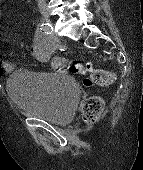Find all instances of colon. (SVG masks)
<instances>
[{
    "mask_svg": "<svg viewBox=\"0 0 143 170\" xmlns=\"http://www.w3.org/2000/svg\"><path fill=\"white\" fill-rule=\"evenodd\" d=\"M57 70H69L73 74L85 75L84 84L91 86L110 85L114 82L115 76L113 73L94 68L92 62L85 64L75 63L67 66L62 59L57 60ZM103 101L98 96L88 97L82 107V117L87 123H92L98 120L103 111Z\"/></svg>",
    "mask_w": 143,
    "mask_h": 170,
    "instance_id": "colon-1",
    "label": "colon"
}]
</instances>
